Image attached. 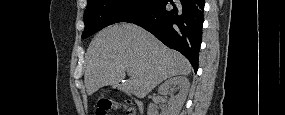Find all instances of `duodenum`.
I'll list each match as a JSON object with an SVG mask.
<instances>
[{"mask_svg":"<svg viewBox=\"0 0 285 115\" xmlns=\"http://www.w3.org/2000/svg\"><path fill=\"white\" fill-rule=\"evenodd\" d=\"M136 102H137V104H138V107L140 108V103H139V101H138V100H136Z\"/></svg>","mask_w":285,"mask_h":115,"instance_id":"1","label":"duodenum"}]
</instances>
